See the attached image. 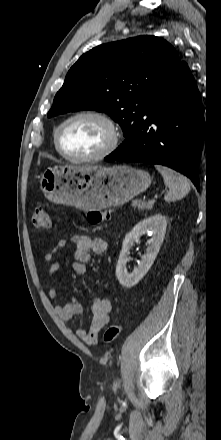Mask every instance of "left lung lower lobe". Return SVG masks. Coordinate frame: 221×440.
Listing matches in <instances>:
<instances>
[{
  "instance_id": "left-lung-lower-lobe-1",
  "label": "left lung lower lobe",
  "mask_w": 221,
  "mask_h": 440,
  "mask_svg": "<svg viewBox=\"0 0 221 440\" xmlns=\"http://www.w3.org/2000/svg\"><path fill=\"white\" fill-rule=\"evenodd\" d=\"M204 125L196 82L187 64L181 62L147 103L130 139L104 160L168 166L186 175L199 189Z\"/></svg>"
}]
</instances>
